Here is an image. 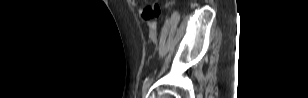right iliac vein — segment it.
Returning <instances> with one entry per match:
<instances>
[{"label":"right iliac vein","instance_id":"right-iliac-vein-1","mask_svg":"<svg viewBox=\"0 0 308 98\" xmlns=\"http://www.w3.org/2000/svg\"><path fill=\"white\" fill-rule=\"evenodd\" d=\"M149 86H150V83L143 89V94L146 93V91L148 90Z\"/></svg>","mask_w":308,"mask_h":98}]
</instances>
